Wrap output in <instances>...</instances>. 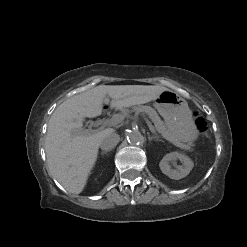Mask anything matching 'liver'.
<instances>
[{"instance_id": "1", "label": "liver", "mask_w": 247, "mask_h": 247, "mask_svg": "<svg viewBox=\"0 0 247 247\" xmlns=\"http://www.w3.org/2000/svg\"><path fill=\"white\" fill-rule=\"evenodd\" d=\"M168 90L160 85H99L75 95L53 112L45 140L49 172L70 193L83 191L95 165L102 137L113 130L86 133L83 118L101 115L105 99L117 109L145 104Z\"/></svg>"}]
</instances>
